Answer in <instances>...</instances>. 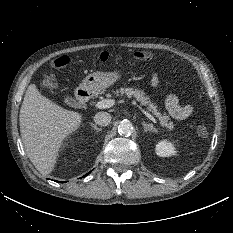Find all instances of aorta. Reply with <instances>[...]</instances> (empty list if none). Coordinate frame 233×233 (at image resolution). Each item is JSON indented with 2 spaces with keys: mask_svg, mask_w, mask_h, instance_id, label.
Wrapping results in <instances>:
<instances>
[{
  "mask_svg": "<svg viewBox=\"0 0 233 233\" xmlns=\"http://www.w3.org/2000/svg\"><path fill=\"white\" fill-rule=\"evenodd\" d=\"M133 130H134L133 125L128 120L121 121L118 126V132L120 135L123 136H130L133 133Z\"/></svg>",
  "mask_w": 233,
  "mask_h": 233,
  "instance_id": "762f6f07",
  "label": "aorta"
}]
</instances>
